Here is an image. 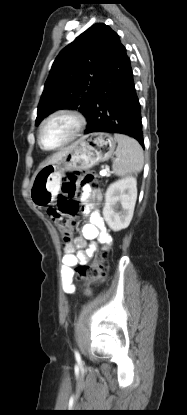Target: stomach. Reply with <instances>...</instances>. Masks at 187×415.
I'll return each mask as SVG.
<instances>
[{"label":"stomach","instance_id":"1","mask_svg":"<svg viewBox=\"0 0 187 415\" xmlns=\"http://www.w3.org/2000/svg\"><path fill=\"white\" fill-rule=\"evenodd\" d=\"M115 147V138L104 132L86 135L73 143L60 161L43 165L35 172L29 188L33 204L39 208L52 204L64 173L89 169L96 163L108 160Z\"/></svg>","mask_w":187,"mask_h":415}]
</instances>
